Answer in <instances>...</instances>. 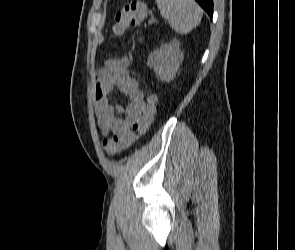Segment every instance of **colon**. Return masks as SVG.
Instances as JSON below:
<instances>
[{
  "instance_id": "colon-1",
  "label": "colon",
  "mask_w": 295,
  "mask_h": 250,
  "mask_svg": "<svg viewBox=\"0 0 295 250\" xmlns=\"http://www.w3.org/2000/svg\"><path fill=\"white\" fill-rule=\"evenodd\" d=\"M146 6L142 2L134 1L126 5L122 10L114 14L112 33L121 35L130 27H136L143 23L146 17ZM156 97L149 95L147 98V108L142 120L137 124L135 131L137 136L146 133L153 122L156 110ZM103 148L108 155L115 154L123 149V144L117 139H106L103 142Z\"/></svg>"
}]
</instances>
